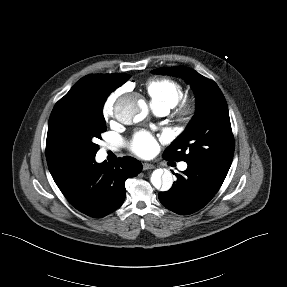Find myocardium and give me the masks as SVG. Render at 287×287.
I'll use <instances>...</instances> for the list:
<instances>
[{
  "label": "myocardium",
  "mask_w": 287,
  "mask_h": 287,
  "mask_svg": "<svg viewBox=\"0 0 287 287\" xmlns=\"http://www.w3.org/2000/svg\"><path fill=\"white\" fill-rule=\"evenodd\" d=\"M196 110V102L193 99H186L178 104L174 117L178 123L186 125L192 121Z\"/></svg>",
  "instance_id": "obj_1"
}]
</instances>
